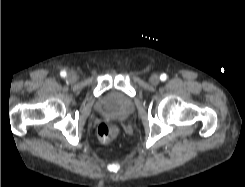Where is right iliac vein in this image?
Instances as JSON below:
<instances>
[{
    "label": "right iliac vein",
    "mask_w": 245,
    "mask_h": 187,
    "mask_svg": "<svg viewBox=\"0 0 245 187\" xmlns=\"http://www.w3.org/2000/svg\"><path fill=\"white\" fill-rule=\"evenodd\" d=\"M67 80L71 83L75 82L77 80V75L75 72L71 71L68 73Z\"/></svg>",
    "instance_id": "1"
}]
</instances>
